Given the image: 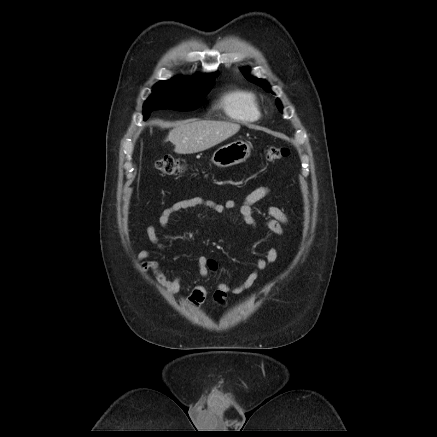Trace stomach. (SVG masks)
Here are the masks:
<instances>
[{
  "instance_id": "1",
  "label": "stomach",
  "mask_w": 437,
  "mask_h": 437,
  "mask_svg": "<svg viewBox=\"0 0 437 437\" xmlns=\"http://www.w3.org/2000/svg\"><path fill=\"white\" fill-rule=\"evenodd\" d=\"M250 154V144L236 141L218 148L211 160L218 167H229L244 162Z\"/></svg>"
}]
</instances>
